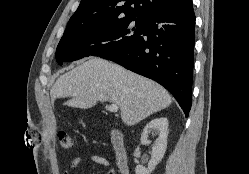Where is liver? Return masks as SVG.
Listing matches in <instances>:
<instances>
[{
    "instance_id": "1",
    "label": "liver",
    "mask_w": 249,
    "mask_h": 174,
    "mask_svg": "<svg viewBox=\"0 0 249 174\" xmlns=\"http://www.w3.org/2000/svg\"><path fill=\"white\" fill-rule=\"evenodd\" d=\"M51 100L71 98L65 105L89 109L100 102L117 104L127 126L135 125L172 103L158 83L100 58H90L60 76L50 91Z\"/></svg>"
}]
</instances>
